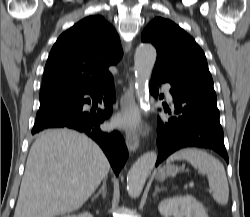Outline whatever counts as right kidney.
I'll use <instances>...</instances> for the list:
<instances>
[{"label": "right kidney", "instance_id": "ca27d5eb", "mask_svg": "<svg viewBox=\"0 0 250 217\" xmlns=\"http://www.w3.org/2000/svg\"><path fill=\"white\" fill-rule=\"evenodd\" d=\"M66 217H93L89 212H85V213H81V214H78V215H68Z\"/></svg>", "mask_w": 250, "mask_h": 217}]
</instances>
